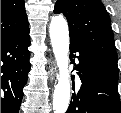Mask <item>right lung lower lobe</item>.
Here are the masks:
<instances>
[{"label": "right lung lower lobe", "instance_id": "right-lung-lower-lobe-1", "mask_svg": "<svg viewBox=\"0 0 121 113\" xmlns=\"http://www.w3.org/2000/svg\"><path fill=\"white\" fill-rule=\"evenodd\" d=\"M29 28L1 41V113H19L30 71Z\"/></svg>", "mask_w": 121, "mask_h": 113}]
</instances>
